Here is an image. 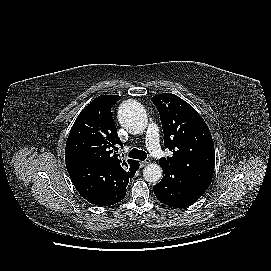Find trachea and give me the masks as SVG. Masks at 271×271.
<instances>
[{
  "label": "trachea",
  "mask_w": 271,
  "mask_h": 271,
  "mask_svg": "<svg viewBox=\"0 0 271 271\" xmlns=\"http://www.w3.org/2000/svg\"><path fill=\"white\" fill-rule=\"evenodd\" d=\"M128 156L133 159H138V160L144 161L147 158V153L143 150H138L136 148H133L129 152Z\"/></svg>",
  "instance_id": "1"
}]
</instances>
